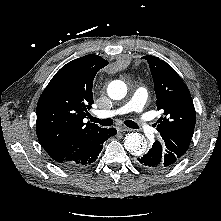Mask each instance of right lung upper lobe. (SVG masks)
<instances>
[{
	"instance_id": "cb5924a9",
	"label": "right lung upper lobe",
	"mask_w": 221,
	"mask_h": 221,
	"mask_svg": "<svg viewBox=\"0 0 221 221\" xmlns=\"http://www.w3.org/2000/svg\"><path fill=\"white\" fill-rule=\"evenodd\" d=\"M107 64L98 55L77 58L64 65L42 92L36 110V132L53 160H64L102 129L83 119L93 104V79Z\"/></svg>"
}]
</instances>
